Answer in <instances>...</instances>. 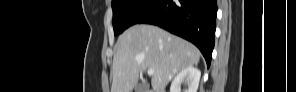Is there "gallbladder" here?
Wrapping results in <instances>:
<instances>
[{
  "instance_id": "obj_1",
  "label": "gallbladder",
  "mask_w": 296,
  "mask_h": 92,
  "mask_svg": "<svg viewBox=\"0 0 296 92\" xmlns=\"http://www.w3.org/2000/svg\"><path fill=\"white\" fill-rule=\"evenodd\" d=\"M147 87L148 86L146 83H140L135 86L134 90H135V92H146Z\"/></svg>"
}]
</instances>
